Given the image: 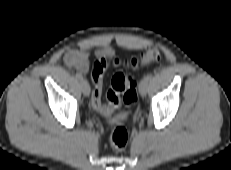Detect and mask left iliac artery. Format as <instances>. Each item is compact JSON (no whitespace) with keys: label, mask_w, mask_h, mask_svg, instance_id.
I'll return each instance as SVG.
<instances>
[{"label":"left iliac artery","mask_w":231,"mask_h":170,"mask_svg":"<svg viewBox=\"0 0 231 170\" xmlns=\"http://www.w3.org/2000/svg\"><path fill=\"white\" fill-rule=\"evenodd\" d=\"M153 77L152 73H148L145 78L149 81Z\"/></svg>","instance_id":"left-iliac-artery-1"}]
</instances>
